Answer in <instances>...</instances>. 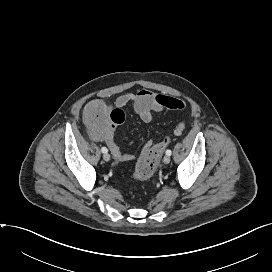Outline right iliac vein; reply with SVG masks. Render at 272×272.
Listing matches in <instances>:
<instances>
[{
    "label": "right iliac vein",
    "instance_id": "63e3f726",
    "mask_svg": "<svg viewBox=\"0 0 272 272\" xmlns=\"http://www.w3.org/2000/svg\"><path fill=\"white\" fill-rule=\"evenodd\" d=\"M103 159H104V161L108 162L110 160V155L108 153H105L103 155Z\"/></svg>",
    "mask_w": 272,
    "mask_h": 272
}]
</instances>
